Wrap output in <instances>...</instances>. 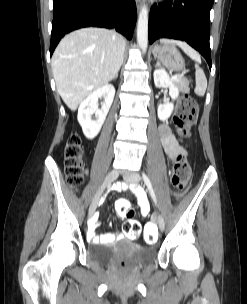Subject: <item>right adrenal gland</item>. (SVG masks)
<instances>
[{"label": "right adrenal gland", "instance_id": "obj_1", "mask_svg": "<svg viewBox=\"0 0 247 304\" xmlns=\"http://www.w3.org/2000/svg\"><path fill=\"white\" fill-rule=\"evenodd\" d=\"M122 63H123V61H122ZM118 77V74L115 76V79Z\"/></svg>", "mask_w": 247, "mask_h": 304}]
</instances>
